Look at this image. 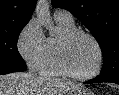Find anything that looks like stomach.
I'll return each mask as SVG.
<instances>
[{"mask_svg":"<svg viewBox=\"0 0 119 95\" xmlns=\"http://www.w3.org/2000/svg\"><path fill=\"white\" fill-rule=\"evenodd\" d=\"M67 95H94V93L85 87L78 86L77 88L70 90Z\"/></svg>","mask_w":119,"mask_h":95,"instance_id":"stomach-1","label":"stomach"}]
</instances>
